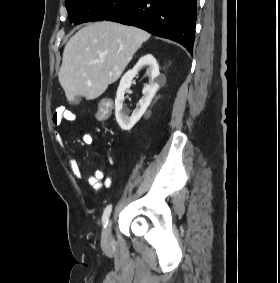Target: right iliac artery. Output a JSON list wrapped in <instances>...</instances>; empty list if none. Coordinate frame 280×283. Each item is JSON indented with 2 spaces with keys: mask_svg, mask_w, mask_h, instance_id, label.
I'll return each mask as SVG.
<instances>
[{
  "mask_svg": "<svg viewBox=\"0 0 280 283\" xmlns=\"http://www.w3.org/2000/svg\"><path fill=\"white\" fill-rule=\"evenodd\" d=\"M112 211V205H109L105 208L103 216H102V222H103V226L106 227L107 223H108V219L110 216V213Z\"/></svg>",
  "mask_w": 280,
  "mask_h": 283,
  "instance_id": "82829eb1",
  "label": "right iliac artery"
}]
</instances>
